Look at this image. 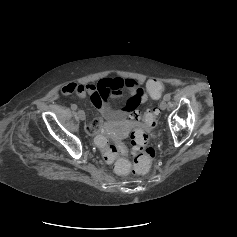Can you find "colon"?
<instances>
[{"label": "colon", "instance_id": "obj_1", "mask_svg": "<svg viewBox=\"0 0 237 237\" xmlns=\"http://www.w3.org/2000/svg\"><path fill=\"white\" fill-rule=\"evenodd\" d=\"M146 88L150 96L157 99L164 91L165 85L160 80L151 79L147 82ZM131 119L134 123L130 136L132 164L126 158L129 151L124 143L110 139L106 135H100L97 138V145L105 161L113 164L115 171L123 176L130 173H145L156 155L155 149L148 145L146 130L156 126L158 111L154 109L144 113H134Z\"/></svg>", "mask_w": 237, "mask_h": 237}]
</instances>
